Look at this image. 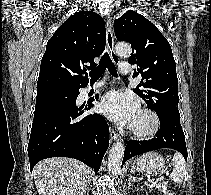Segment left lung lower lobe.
Wrapping results in <instances>:
<instances>
[{
  "mask_svg": "<svg viewBox=\"0 0 211 195\" xmlns=\"http://www.w3.org/2000/svg\"><path fill=\"white\" fill-rule=\"evenodd\" d=\"M159 120L161 128L156 137L152 138L151 140H130L127 142L122 166L128 159L135 155L161 148H171L177 150L187 160L185 136L180 124V120L170 118H159Z\"/></svg>",
  "mask_w": 211,
  "mask_h": 195,
  "instance_id": "0a47b994",
  "label": "left lung lower lobe"
}]
</instances>
